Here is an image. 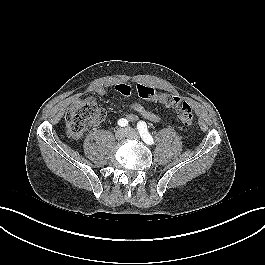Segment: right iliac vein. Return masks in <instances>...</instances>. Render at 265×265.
Listing matches in <instances>:
<instances>
[{
    "label": "right iliac vein",
    "instance_id": "obj_1",
    "mask_svg": "<svg viewBox=\"0 0 265 265\" xmlns=\"http://www.w3.org/2000/svg\"><path fill=\"white\" fill-rule=\"evenodd\" d=\"M126 136H127V131L123 128H119L115 132V138L117 140H123Z\"/></svg>",
    "mask_w": 265,
    "mask_h": 265
}]
</instances>
